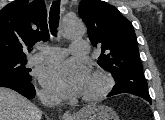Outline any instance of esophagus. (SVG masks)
Returning a JSON list of instances; mask_svg holds the SVG:
<instances>
[{"label":"esophagus","mask_w":165,"mask_h":120,"mask_svg":"<svg viewBox=\"0 0 165 120\" xmlns=\"http://www.w3.org/2000/svg\"><path fill=\"white\" fill-rule=\"evenodd\" d=\"M64 4V1H62ZM63 120H73V115L70 112H65L62 116Z\"/></svg>","instance_id":"1"}]
</instances>
